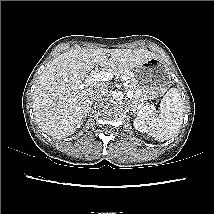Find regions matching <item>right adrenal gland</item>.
Masks as SVG:
<instances>
[{
    "label": "right adrenal gland",
    "instance_id": "1",
    "mask_svg": "<svg viewBox=\"0 0 214 214\" xmlns=\"http://www.w3.org/2000/svg\"><path fill=\"white\" fill-rule=\"evenodd\" d=\"M93 104V102H90V106ZM91 108V107H90Z\"/></svg>",
    "mask_w": 214,
    "mask_h": 214
}]
</instances>
